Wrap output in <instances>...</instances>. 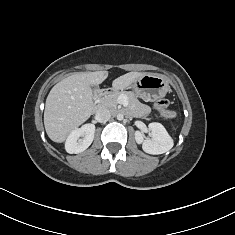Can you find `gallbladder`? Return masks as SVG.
I'll return each mask as SVG.
<instances>
[{
    "label": "gallbladder",
    "instance_id": "1",
    "mask_svg": "<svg viewBox=\"0 0 235 235\" xmlns=\"http://www.w3.org/2000/svg\"><path fill=\"white\" fill-rule=\"evenodd\" d=\"M91 89H92L93 91H95V90L97 89V86H96V85H92V86H91Z\"/></svg>",
    "mask_w": 235,
    "mask_h": 235
}]
</instances>
